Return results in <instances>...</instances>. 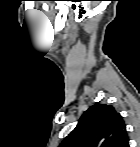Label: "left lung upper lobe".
<instances>
[{"label": "left lung upper lobe", "instance_id": "1", "mask_svg": "<svg viewBox=\"0 0 140 147\" xmlns=\"http://www.w3.org/2000/svg\"><path fill=\"white\" fill-rule=\"evenodd\" d=\"M123 117L108 104L93 105L83 113L76 128L60 147H128Z\"/></svg>", "mask_w": 140, "mask_h": 147}]
</instances>
